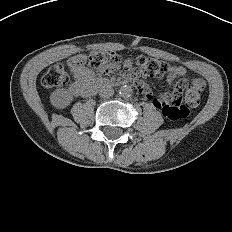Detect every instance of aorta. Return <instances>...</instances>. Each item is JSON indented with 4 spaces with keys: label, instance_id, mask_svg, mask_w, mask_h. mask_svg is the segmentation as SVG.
<instances>
[{
    "label": "aorta",
    "instance_id": "762f6f07",
    "mask_svg": "<svg viewBox=\"0 0 232 232\" xmlns=\"http://www.w3.org/2000/svg\"><path fill=\"white\" fill-rule=\"evenodd\" d=\"M119 94L123 98L130 97L133 94V89L129 85H123L120 87Z\"/></svg>",
    "mask_w": 232,
    "mask_h": 232
}]
</instances>
